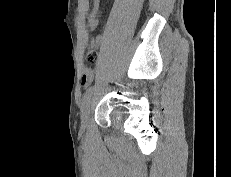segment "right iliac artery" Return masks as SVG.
<instances>
[{"mask_svg": "<svg viewBox=\"0 0 231 177\" xmlns=\"http://www.w3.org/2000/svg\"><path fill=\"white\" fill-rule=\"evenodd\" d=\"M92 91H93V86H90L87 89L86 93L84 94V99L88 98L91 95Z\"/></svg>", "mask_w": 231, "mask_h": 177, "instance_id": "82829eb1", "label": "right iliac artery"}]
</instances>
